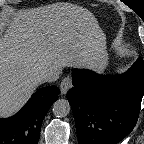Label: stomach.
<instances>
[{
    "label": "stomach",
    "mask_w": 144,
    "mask_h": 144,
    "mask_svg": "<svg viewBox=\"0 0 144 144\" xmlns=\"http://www.w3.org/2000/svg\"><path fill=\"white\" fill-rule=\"evenodd\" d=\"M108 60H109V57H108V54L105 51L104 54H103V57H102L101 64H100V69H104V68L107 67Z\"/></svg>",
    "instance_id": "stomach-1"
}]
</instances>
